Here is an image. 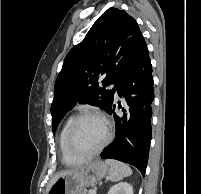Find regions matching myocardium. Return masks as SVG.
<instances>
[{"label": "myocardium", "instance_id": "obj_1", "mask_svg": "<svg viewBox=\"0 0 201 194\" xmlns=\"http://www.w3.org/2000/svg\"><path fill=\"white\" fill-rule=\"evenodd\" d=\"M86 118H98L104 123L106 128V137L104 141L96 150L90 153H84L79 151L75 145V135H76L77 127L79 123ZM110 140H111V128H110L108 120L102 114L98 112L87 111V112L80 113L73 119L67 133V148L74 157L81 160H86V159H91L99 155L104 150V148L109 144Z\"/></svg>", "mask_w": 201, "mask_h": 194}]
</instances>
